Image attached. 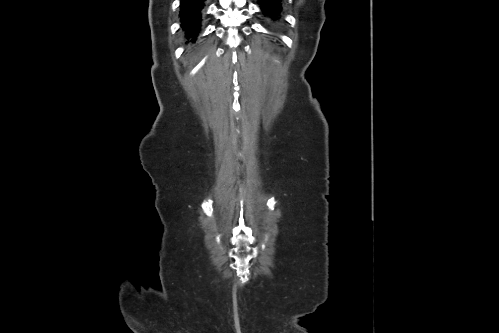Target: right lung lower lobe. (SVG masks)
Listing matches in <instances>:
<instances>
[{"label": "right lung lower lobe", "instance_id": "98d812e1", "mask_svg": "<svg viewBox=\"0 0 499 333\" xmlns=\"http://www.w3.org/2000/svg\"><path fill=\"white\" fill-rule=\"evenodd\" d=\"M203 6V0H182L181 1V23L187 33V38L193 41L195 34L199 30L200 9Z\"/></svg>", "mask_w": 499, "mask_h": 333}]
</instances>
